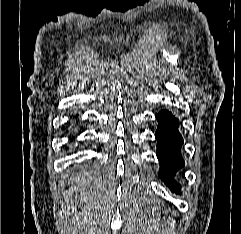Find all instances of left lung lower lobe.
Returning a JSON list of instances; mask_svg holds the SVG:
<instances>
[{
  "label": "left lung lower lobe",
  "mask_w": 241,
  "mask_h": 234,
  "mask_svg": "<svg viewBox=\"0 0 241 234\" xmlns=\"http://www.w3.org/2000/svg\"><path fill=\"white\" fill-rule=\"evenodd\" d=\"M158 128L155 133L157 139V157L160 162V178L171 189L180 193V185L173 176L184 166L180 153L183 139L178 131L179 121L167 110H161L157 116Z\"/></svg>",
  "instance_id": "left-lung-lower-lobe-1"
}]
</instances>
